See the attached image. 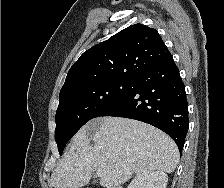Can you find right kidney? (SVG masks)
Wrapping results in <instances>:
<instances>
[{"label":"right kidney","instance_id":"1","mask_svg":"<svg viewBox=\"0 0 224 188\" xmlns=\"http://www.w3.org/2000/svg\"><path fill=\"white\" fill-rule=\"evenodd\" d=\"M168 176L163 171H149L137 175L127 188H166Z\"/></svg>","mask_w":224,"mask_h":188}]
</instances>
